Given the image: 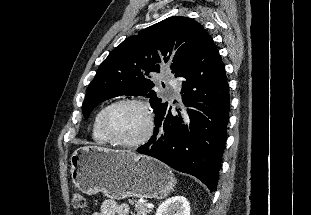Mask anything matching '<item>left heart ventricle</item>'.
Returning a JSON list of instances; mask_svg holds the SVG:
<instances>
[{"label":"left heart ventricle","mask_w":311,"mask_h":215,"mask_svg":"<svg viewBox=\"0 0 311 215\" xmlns=\"http://www.w3.org/2000/svg\"><path fill=\"white\" fill-rule=\"evenodd\" d=\"M108 127L118 139L134 141L144 134L147 128V116L145 111L137 105H120L111 111L108 117Z\"/></svg>","instance_id":"1"}]
</instances>
